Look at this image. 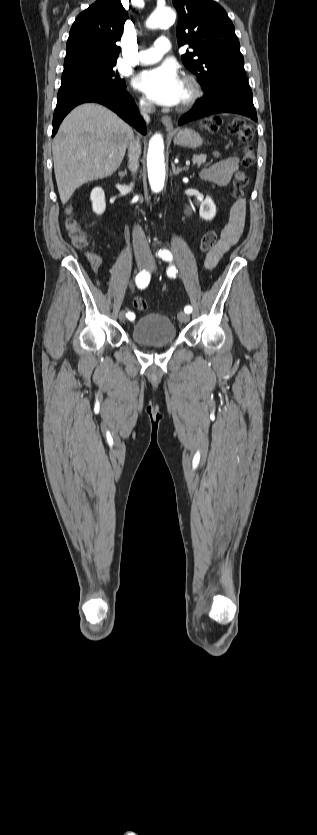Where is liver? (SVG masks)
Wrapping results in <instances>:
<instances>
[{
  "instance_id": "liver-1",
  "label": "liver",
  "mask_w": 317,
  "mask_h": 835,
  "mask_svg": "<svg viewBox=\"0 0 317 835\" xmlns=\"http://www.w3.org/2000/svg\"><path fill=\"white\" fill-rule=\"evenodd\" d=\"M133 137L132 128L101 105L86 103L73 109L52 143L61 202L67 203L82 184L112 175Z\"/></svg>"
}]
</instances>
